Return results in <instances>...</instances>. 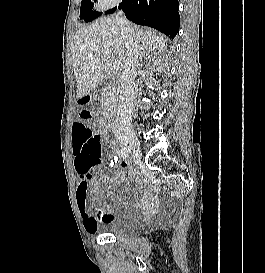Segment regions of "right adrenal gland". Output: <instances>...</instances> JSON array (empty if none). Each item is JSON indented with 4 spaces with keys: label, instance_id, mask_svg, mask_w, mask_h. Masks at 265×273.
<instances>
[{
    "label": "right adrenal gland",
    "instance_id": "2a0ac1e0",
    "mask_svg": "<svg viewBox=\"0 0 265 273\" xmlns=\"http://www.w3.org/2000/svg\"><path fill=\"white\" fill-rule=\"evenodd\" d=\"M144 56H148V55L143 54L142 57H144ZM148 58H149V57H148Z\"/></svg>",
    "mask_w": 265,
    "mask_h": 273
}]
</instances>
